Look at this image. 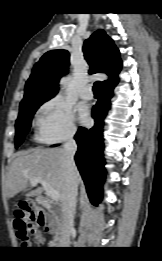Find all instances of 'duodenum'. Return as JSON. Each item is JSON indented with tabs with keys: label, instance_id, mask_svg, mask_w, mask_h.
<instances>
[{
	"label": "duodenum",
	"instance_id": "1",
	"mask_svg": "<svg viewBox=\"0 0 162 261\" xmlns=\"http://www.w3.org/2000/svg\"><path fill=\"white\" fill-rule=\"evenodd\" d=\"M37 202L39 205L43 206L47 211L48 215H45V219L43 222V227H45L48 231H51L52 233L56 234L57 237L55 239L54 245L55 246H64V242L66 241L65 234L62 232L61 224L56 222L49 214L51 211L49 209V206L46 202V200L43 197H38ZM44 213V212H43Z\"/></svg>",
	"mask_w": 162,
	"mask_h": 261
}]
</instances>
